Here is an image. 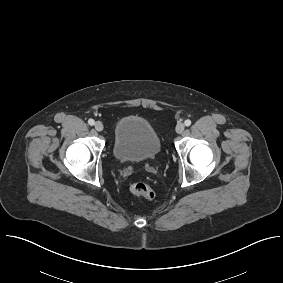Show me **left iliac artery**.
I'll use <instances>...</instances> for the list:
<instances>
[{"instance_id": "left-iliac-artery-1", "label": "left iliac artery", "mask_w": 283, "mask_h": 283, "mask_svg": "<svg viewBox=\"0 0 283 283\" xmlns=\"http://www.w3.org/2000/svg\"><path fill=\"white\" fill-rule=\"evenodd\" d=\"M185 125H186V126H190V125H191V120L187 119V120L185 121Z\"/></svg>"}]
</instances>
